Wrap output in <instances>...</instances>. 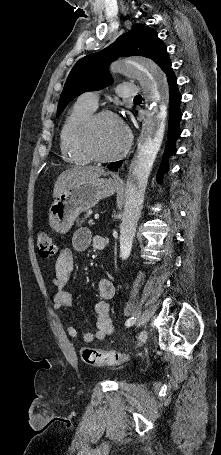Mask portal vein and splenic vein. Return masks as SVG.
Wrapping results in <instances>:
<instances>
[{"label":"portal vein and splenic vein","instance_id":"portal-vein-and-splenic-vein-1","mask_svg":"<svg viewBox=\"0 0 221 455\" xmlns=\"http://www.w3.org/2000/svg\"><path fill=\"white\" fill-rule=\"evenodd\" d=\"M94 218H95L96 220L99 219V214H95V215H94Z\"/></svg>","mask_w":221,"mask_h":455}]
</instances>
